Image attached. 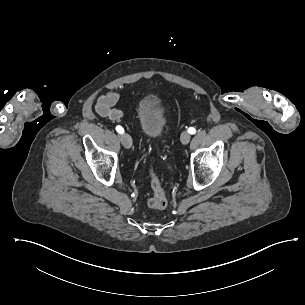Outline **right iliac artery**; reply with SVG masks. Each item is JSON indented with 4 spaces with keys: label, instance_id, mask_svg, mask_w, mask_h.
Instances as JSON below:
<instances>
[{
    "label": "right iliac artery",
    "instance_id": "right-iliac-artery-1",
    "mask_svg": "<svg viewBox=\"0 0 305 305\" xmlns=\"http://www.w3.org/2000/svg\"><path fill=\"white\" fill-rule=\"evenodd\" d=\"M116 131H117L119 134L124 133V129H123L120 125L116 126Z\"/></svg>",
    "mask_w": 305,
    "mask_h": 305
}]
</instances>
